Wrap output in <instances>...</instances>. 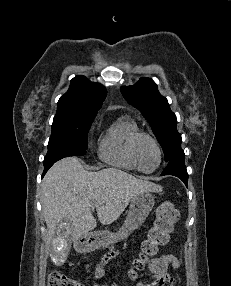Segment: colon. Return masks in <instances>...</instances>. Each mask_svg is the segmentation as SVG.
<instances>
[{
	"label": "colon",
	"instance_id": "5ec220e1",
	"mask_svg": "<svg viewBox=\"0 0 231 286\" xmlns=\"http://www.w3.org/2000/svg\"><path fill=\"white\" fill-rule=\"evenodd\" d=\"M179 219V210L171 201L161 203L155 211V219L152 227L148 230L147 236L141 244L138 257L133 262L129 272L130 277H135L142 271L146 263L158 254L160 247L164 246L173 231L174 225ZM47 286H85L83 283L74 280L65 274L51 272L47 276ZM94 286H105L96 284ZM116 286V285H113Z\"/></svg>",
	"mask_w": 231,
	"mask_h": 286
}]
</instances>
